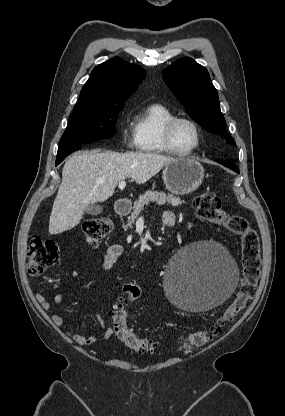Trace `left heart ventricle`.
I'll return each mask as SVG.
<instances>
[{
    "instance_id": "1",
    "label": "left heart ventricle",
    "mask_w": 285,
    "mask_h": 416,
    "mask_svg": "<svg viewBox=\"0 0 285 416\" xmlns=\"http://www.w3.org/2000/svg\"><path fill=\"white\" fill-rule=\"evenodd\" d=\"M172 137L174 145L180 150H189L197 142L194 128L185 121H180L175 125Z\"/></svg>"
}]
</instances>
